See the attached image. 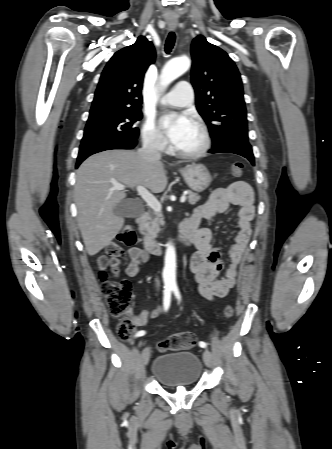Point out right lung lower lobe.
<instances>
[{
  "instance_id": "98d812e1",
  "label": "right lung lower lobe",
  "mask_w": 332,
  "mask_h": 449,
  "mask_svg": "<svg viewBox=\"0 0 332 449\" xmlns=\"http://www.w3.org/2000/svg\"><path fill=\"white\" fill-rule=\"evenodd\" d=\"M137 144V140H124V139H100L85 144H81L76 167L85 160L88 156L97 152L110 150V149H133Z\"/></svg>"
}]
</instances>
